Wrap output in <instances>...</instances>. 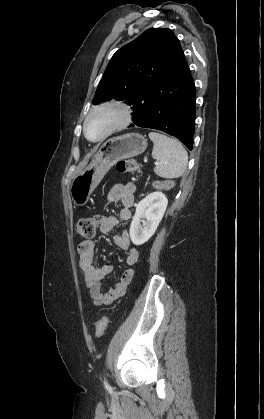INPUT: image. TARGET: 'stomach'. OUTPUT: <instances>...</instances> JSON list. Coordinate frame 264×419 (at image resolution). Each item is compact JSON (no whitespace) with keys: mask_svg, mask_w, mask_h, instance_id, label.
I'll list each match as a JSON object with an SVG mask.
<instances>
[{"mask_svg":"<svg viewBox=\"0 0 264 419\" xmlns=\"http://www.w3.org/2000/svg\"><path fill=\"white\" fill-rule=\"evenodd\" d=\"M147 139L138 133H128L108 139L90 164L71 182L70 195L76 206L85 205L104 175L118 161L143 153Z\"/></svg>","mask_w":264,"mask_h":419,"instance_id":"stomach-1","label":"stomach"}]
</instances>
